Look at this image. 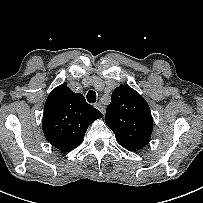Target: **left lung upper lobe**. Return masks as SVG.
<instances>
[{"mask_svg": "<svg viewBox=\"0 0 203 203\" xmlns=\"http://www.w3.org/2000/svg\"><path fill=\"white\" fill-rule=\"evenodd\" d=\"M105 115L117 142L130 151L145 147L151 138L153 118L148 103L134 89L120 85L112 93Z\"/></svg>", "mask_w": 203, "mask_h": 203, "instance_id": "obj_1", "label": "left lung upper lobe"}]
</instances>
